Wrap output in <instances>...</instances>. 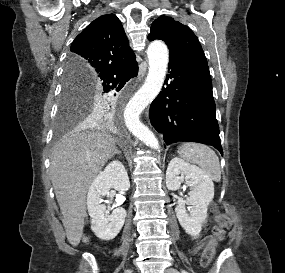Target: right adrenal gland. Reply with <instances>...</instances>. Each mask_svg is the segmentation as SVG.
I'll list each match as a JSON object with an SVG mask.
<instances>
[{
    "instance_id": "obj_1",
    "label": "right adrenal gland",
    "mask_w": 285,
    "mask_h": 273,
    "mask_svg": "<svg viewBox=\"0 0 285 273\" xmlns=\"http://www.w3.org/2000/svg\"><path fill=\"white\" fill-rule=\"evenodd\" d=\"M115 154L121 155V152H120L118 149H116V150L114 151V153L112 154V157H113Z\"/></svg>"
}]
</instances>
